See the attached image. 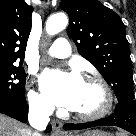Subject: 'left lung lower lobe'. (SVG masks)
<instances>
[{"label": "left lung lower lobe", "instance_id": "left-lung-lower-lobe-1", "mask_svg": "<svg viewBox=\"0 0 136 136\" xmlns=\"http://www.w3.org/2000/svg\"><path fill=\"white\" fill-rule=\"evenodd\" d=\"M118 126L136 135V100L119 102L112 115L107 118L82 124H66L65 130H79L95 126Z\"/></svg>", "mask_w": 136, "mask_h": 136}]
</instances>
